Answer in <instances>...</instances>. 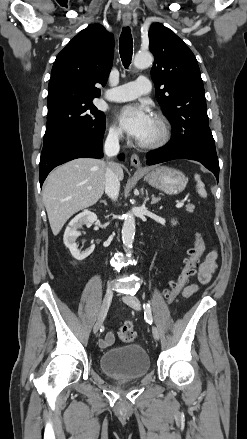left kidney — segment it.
Instances as JSON below:
<instances>
[{
  "instance_id": "5707ae66",
  "label": "left kidney",
  "mask_w": 247,
  "mask_h": 439,
  "mask_svg": "<svg viewBox=\"0 0 247 439\" xmlns=\"http://www.w3.org/2000/svg\"><path fill=\"white\" fill-rule=\"evenodd\" d=\"M172 224H173V225H176V222L173 220V221H172Z\"/></svg>"
}]
</instances>
